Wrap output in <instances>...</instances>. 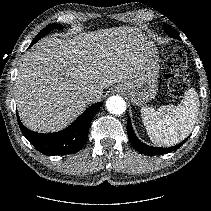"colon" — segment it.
<instances>
[{
	"mask_svg": "<svg viewBox=\"0 0 211 211\" xmlns=\"http://www.w3.org/2000/svg\"><path fill=\"white\" fill-rule=\"evenodd\" d=\"M186 63L185 53L180 48H174L168 57L165 83L175 97L183 95L189 84L190 77L185 72Z\"/></svg>",
	"mask_w": 211,
	"mask_h": 211,
	"instance_id": "1",
	"label": "colon"
}]
</instances>
